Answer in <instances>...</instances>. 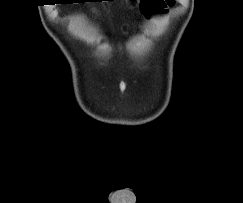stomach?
<instances>
[{"label":"stomach","mask_w":243,"mask_h":203,"mask_svg":"<svg viewBox=\"0 0 243 203\" xmlns=\"http://www.w3.org/2000/svg\"><path fill=\"white\" fill-rule=\"evenodd\" d=\"M140 0H129L130 4L132 5H137V3H139Z\"/></svg>","instance_id":"obj_1"}]
</instances>
